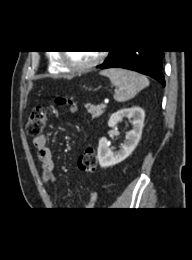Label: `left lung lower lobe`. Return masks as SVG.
Masks as SVG:
<instances>
[{"label": "left lung lower lobe", "instance_id": "obj_1", "mask_svg": "<svg viewBox=\"0 0 192 260\" xmlns=\"http://www.w3.org/2000/svg\"><path fill=\"white\" fill-rule=\"evenodd\" d=\"M163 58L164 53L162 50L112 51L104 63L98 65L97 68L106 69L120 67L134 70L154 78L165 86V78L162 73Z\"/></svg>", "mask_w": 192, "mask_h": 260}]
</instances>
